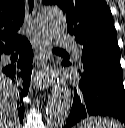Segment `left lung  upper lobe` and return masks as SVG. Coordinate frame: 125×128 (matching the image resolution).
<instances>
[{"label":"left lung upper lobe","instance_id":"obj_1","mask_svg":"<svg viewBox=\"0 0 125 128\" xmlns=\"http://www.w3.org/2000/svg\"><path fill=\"white\" fill-rule=\"evenodd\" d=\"M66 14L67 32L82 45L80 70L120 66V48L111 11L105 0H43Z\"/></svg>","mask_w":125,"mask_h":128}]
</instances>
